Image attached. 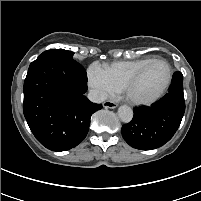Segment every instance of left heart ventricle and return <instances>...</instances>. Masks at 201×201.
<instances>
[{"label": "left heart ventricle", "mask_w": 201, "mask_h": 201, "mask_svg": "<svg viewBox=\"0 0 201 201\" xmlns=\"http://www.w3.org/2000/svg\"><path fill=\"white\" fill-rule=\"evenodd\" d=\"M167 77V65L163 62H155L143 72L132 87L131 93L137 98H149L163 87Z\"/></svg>", "instance_id": "1"}]
</instances>
